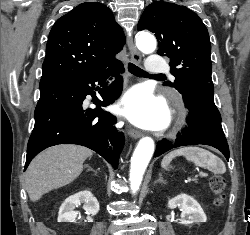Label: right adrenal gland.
<instances>
[{"label":"right adrenal gland","instance_id":"2a0ac1e0","mask_svg":"<svg viewBox=\"0 0 250 235\" xmlns=\"http://www.w3.org/2000/svg\"><path fill=\"white\" fill-rule=\"evenodd\" d=\"M87 167V171H93V172H95L96 174H97V171L96 170H94L92 167H90V166H86Z\"/></svg>","mask_w":250,"mask_h":235}]
</instances>
